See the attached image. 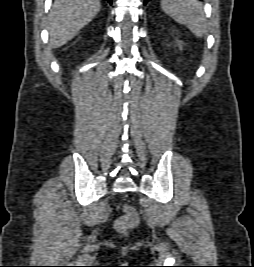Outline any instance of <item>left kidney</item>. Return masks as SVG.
<instances>
[{"label": "left kidney", "mask_w": 254, "mask_h": 267, "mask_svg": "<svg viewBox=\"0 0 254 267\" xmlns=\"http://www.w3.org/2000/svg\"><path fill=\"white\" fill-rule=\"evenodd\" d=\"M177 46H178L179 48H182V42H181V41H177Z\"/></svg>", "instance_id": "5707ae66"}]
</instances>
